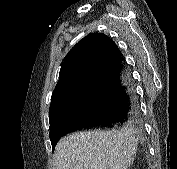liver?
Instances as JSON below:
<instances>
[{"mask_svg":"<svg viewBox=\"0 0 177 169\" xmlns=\"http://www.w3.org/2000/svg\"><path fill=\"white\" fill-rule=\"evenodd\" d=\"M137 144L131 128L76 132L57 143L54 169H128Z\"/></svg>","mask_w":177,"mask_h":169,"instance_id":"6515ba94","label":"liver"}]
</instances>
